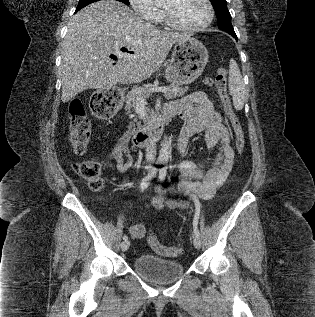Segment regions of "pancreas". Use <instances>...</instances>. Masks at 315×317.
Returning <instances> with one entry per match:
<instances>
[{
	"label": "pancreas",
	"mask_w": 315,
	"mask_h": 317,
	"mask_svg": "<svg viewBox=\"0 0 315 317\" xmlns=\"http://www.w3.org/2000/svg\"><path fill=\"white\" fill-rule=\"evenodd\" d=\"M210 81H212L210 79ZM206 84L211 85L209 82V79H205L204 81ZM153 88H157L156 85L148 84L140 87H134L127 95L126 100V107L127 108H134L137 109V106L140 102H145L146 99L149 97L150 94L154 93L152 92ZM188 90V87H180L179 85L173 84L171 86V89L164 93L165 97L167 99H172L175 97H181L183 96ZM135 117V116H134ZM134 121H137V118L135 117ZM130 127H132V124H130Z\"/></svg>",
	"instance_id": "pancreas-1"
}]
</instances>
